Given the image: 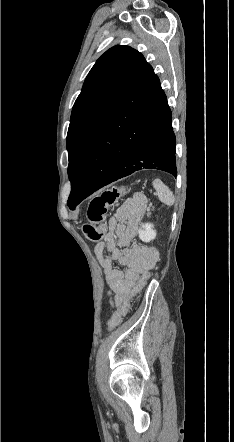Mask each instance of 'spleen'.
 <instances>
[{
  "label": "spleen",
  "mask_w": 234,
  "mask_h": 442,
  "mask_svg": "<svg viewBox=\"0 0 234 442\" xmlns=\"http://www.w3.org/2000/svg\"><path fill=\"white\" fill-rule=\"evenodd\" d=\"M153 186L157 191L158 198L164 204L171 206L174 204V195L172 191L160 180L155 179Z\"/></svg>",
  "instance_id": "spleen-1"
}]
</instances>
